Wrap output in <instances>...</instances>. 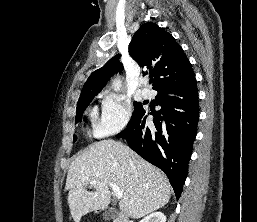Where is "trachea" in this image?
Listing matches in <instances>:
<instances>
[{"mask_svg":"<svg viewBox=\"0 0 257 222\" xmlns=\"http://www.w3.org/2000/svg\"><path fill=\"white\" fill-rule=\"evenodd\" d=\"M153 79L152 78H150V80H149V84H151V83H153Z\"/></svg>","mask_w":257,"mask_h":222,"instance_id":"1","label":"trachea"}]
</instances>
